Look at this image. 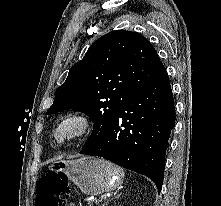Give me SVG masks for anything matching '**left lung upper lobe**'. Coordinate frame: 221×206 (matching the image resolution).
<instances>
[{
  "label": "left lung upper lobe",
  "instance_id": "obj_1",
  "mask_svg": "<svg viewBox=\"0 0 221 206\" xmlns=\"http://www.w3.org/2000/svg\"><path fill=\"white\" fill-rule=\"evenodd\" d=\"M166 69L151 43L135 32L116 30L97 41L69 70L46 114L76 108L94 122L83 148L101 138L124 105Z\"/></svg>",
  "mask_w": 221,
  "mask_h": 206
}]
</instances>
